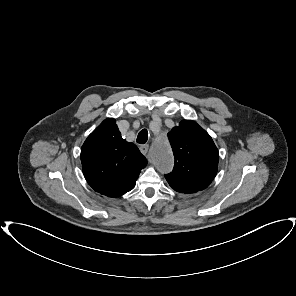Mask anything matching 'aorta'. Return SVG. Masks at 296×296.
I'll return each mask as SVG.
<instances>
[{"label": "aorta", "instance_id": "obj_1", "mask_svg": "<svg viewBox=\"0 0 296 296\" xmlns=\"http://www.w3.org/2000/svg\"><path fill=\"white\" fill-rule=\"evenodd\" d=\"M153 158L155 165L161 172H169L173 166V157L164 139L159 140L154 146Z\"/></svg>", "mask_w": 296, "mask_h": 296}]
</instances>
